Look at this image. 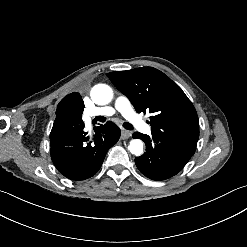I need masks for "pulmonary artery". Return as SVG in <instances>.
I'll list each match as a JSON object with an SVG mask.
<instances>
[{"instance_id":"e3ab8cb5","label":"pulmonary artery","mask_w":247,"mask_h":247,"mask_svg":"<svg viewBox=\"0 0 247 247\" xmlns=\"http://www.w3.org/2000/svg\"><path fill=\"white\" fill-rule=\"evenodd\" d=\"M117 113H121L126 119L133 122L139 132L151 134L152 127L145 123V119L136 113L130 99L125 95H118L113 103V106L97 107L86 109L83 114V120L86 126H90L92 119L96 116L110 117Z\"/></svg>"}]
</instances>
